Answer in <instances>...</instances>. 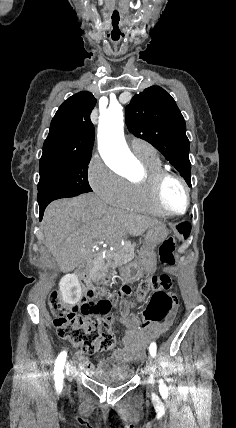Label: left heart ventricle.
<instances>
[{
	"label": "left heart ventricle",
	"instance_id": "left-heart-ventricle-1",
	"mask_svg": "<svg viewBox=\"0 0 236 428\" xmlns=\"http://www.w3.org/2000/svg\"><path fill=\"white\" fill-rule=\"evenodd\" d=\"M164 199L168 206L181 210L185 205V193L180 184L169 181L164 187Z\"/></svg>",
	"mask_w": 236,
	"mask_h": 428
}]
</instances>
